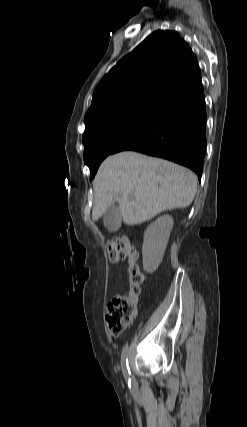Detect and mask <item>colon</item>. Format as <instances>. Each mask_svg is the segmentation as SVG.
Returning <instances> with one entry per match:
<instances>
[{
  "label": "colon",
  "instance_id": "obj_1",
  "mask_svg": "<svg viewBox=\"0 0 247 427\" xmlns=\"http://www.w3.org/2000/svg\"><path fill=\"white\" fill-rule=\"evenodd\" d=\"M107 252L112 262L129 260V291L112 299L106 315L111 333L120 336L136 316L138 297L146 276L138 265L139 252L128 236L122 235L109 241Z\"/></svg>",
  "mask_w": 247,
  "mask_h": 427
}]
</instances>
